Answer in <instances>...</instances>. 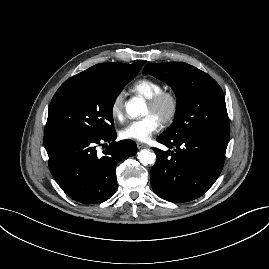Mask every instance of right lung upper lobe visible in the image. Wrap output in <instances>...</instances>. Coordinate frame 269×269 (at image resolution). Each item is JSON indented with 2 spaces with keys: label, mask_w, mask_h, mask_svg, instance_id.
<instances>
[{
  "label": "right lung upper lobe",
  "mask_w": 269,
  "mask_h": 269,
  "mask_svg": "<svg viewBox=\"0 0 269 269\" xmlns=\"http://www.w3.org/2000/svg\"><path fill=\"white\" fill-rule=\"evenodd\" d=\"M145 63L146 61H139L133 64L107 62L94 65L79 74H138L139 70Z\"/></svg>",
  "instance_id": "cb5924a9"
}]
</instances>
